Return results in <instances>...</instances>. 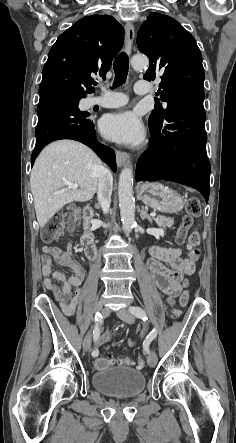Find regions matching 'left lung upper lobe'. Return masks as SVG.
I'll return each instance as SVG.
<instances>
[{
  "label": "left lung upper lobe",
  "mask_w": 236,
  "mask_h": 443,
  "mask_svg": "<svg viewBox=\"0 0 236 443\" xmlns=\"http://www.w3.org/2000/svg\"><path fill=\"white\" fill-rule=\"evenodd\" d=\"M139 50L148 56L150 66L144 79L151 81L161 76L159 84L161 104L149 117L153 124L161 123L166 112L185 102L204 101L205 73L202 55L194 37L173 18L151 13L137 35Z\"/></svg>",
  "instance_id": "1"
}]
</instances>
